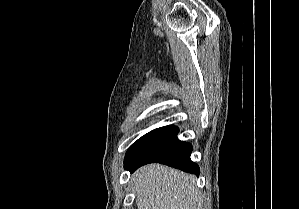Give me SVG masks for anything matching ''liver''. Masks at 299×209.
Wrapping results in <instances>:
<instances>
[{
    "label": "liver",
    "instance_id": "6515ba94",
    "mask_svg": "<svg viewBox=\"0 0 299 209\" xmlns=\"http://www.w3.org/2000/svg\"><path fill=\"white\" fill-rule=\"evenodd\" d=\"M195 177L159 164L138 169L133 178L137 209H198Z\"/></svg>",
    "mask_w": 299,
    "mask_h": 209
}]
</instances>
